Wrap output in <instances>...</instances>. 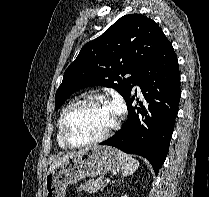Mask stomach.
<instances>
[{"label": "stomach", "mask_w": 209, "mask_h": 197, "mask_svg": "<svg viewBox=\"0 0 209 197\" xmlns=\"http://www.w3.org/2000/svg\"><path fill=\"white\" fill-rule=\"evenodd\" d=\"M121 166L120 151L109 146H93L47 174L44 197H65L68 185L85 177L116 172Z\"/></svg>", "instance_id": "1"}]
</instances>
